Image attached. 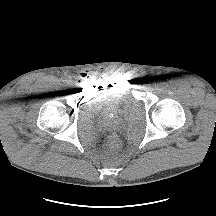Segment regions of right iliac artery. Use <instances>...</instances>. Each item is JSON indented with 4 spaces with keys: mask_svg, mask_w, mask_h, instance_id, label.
Returning <instances> with one entry per match:
<instances>
[{
    "mask_svg": "<svg viewBox=\"0 0 216 216\" xmlns=\"http://www.w3.org/2000/svg\"><path fill=\"white\" fill-rule=\"evenodd\" d=\"M61 81H66V78L65 77H61Z\"/></svg>",
    "mask_w": 216,
    "mask_h": 216,
    "instance_id": "82829eb1",
    "label": "right iliac artery"
}]
</instances>
